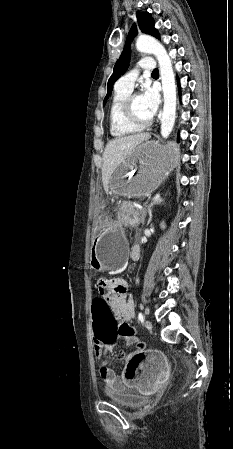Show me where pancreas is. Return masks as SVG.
<instances>
[{
  "label": "pancreas",
  "instance_id": "cf45deb5",
  "mask_svg": "<svg viewBox=\"0 0 233 449\" xmlns=\"http://www.w3.org/2000/svg\"><path fill=\"white\" fill-rule=\"evenodd\" d=\"M125 209H121L118 215V219L121 222H125L130 226L136 227L140 223H144L145 220V211L138 209L132 206L130 203H127Z\"/></svg>",
  "mask_w": 233,
  "mask_h": 449
}]
</instances>
